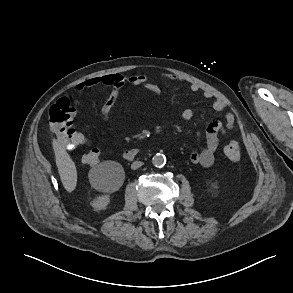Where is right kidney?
Returning a JSON list of instances; mask_svg holds the SVG:
<instances>
[{
  "mask_svg": "<svg viewBox=\"0 0 293 293\" xmlns=\"http://www.w3.org/2000/svg\"><path fill=\"white\" fill-rule=\"evenodd\" d=\"M101 167L103 176L101 178L102 183L98 186V189L107 194L98 196L92 201V207L96 211L102 210L108 205L110 201L108 193L118 190L125 178L124 169L118 162L105 161Z\"/></svg>",
  "mask_w": 293,
  "mask_h": 293,
  "instance_id": "1",
  "label": "right kidney"
}]
</instances>
